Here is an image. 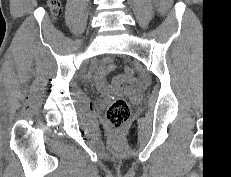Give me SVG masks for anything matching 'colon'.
Wrapping results in <instances>:
<instances>
[{"mask_svg": "<svg viewBox=\"0 0 231 177\" xmlns=\"http://www.w3.org/2000/svg\"><path fill=\"white\" fill-rule=\"evenodd\" d=\"M161 10H164L168 0H156ZM47 5L50 10L57 14L60 8V0H47ZM133 70L130 67H125L122 71V78L125 82H130L133 79ZM131 116V107L128 101L124 98H116L108 106L106 111V120L111 127L119 129L124 126Z\"/></svg>", "mask_w": 231, "mask_h": 177, "instance_id": "5ec220e1", "label": "colon"}]
</instances>
